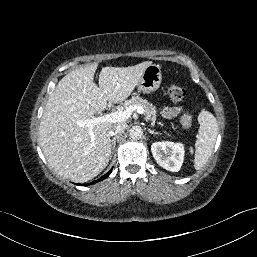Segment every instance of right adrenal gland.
Returning a JSON list of instances; mask_svg holds the SVG:
<instances>
[{"instance_id":"2a0ac1e0","label":"right adrenal gland","mask_w":257,"mask_h":257,"mask_svg":"<svg viewBox=\"0 0 257 257\" xmlns=\"http://www.w3.org/2000/svg\"><path fill=\"white\" fill-rule=\"evenodd\" d=\"M116 139H117V136H115V137H114V138H112V140H111L112 152H111L110 158L112 157L113 152H114V150H115V146H116Z\"/></svg>"}]
</instances>
